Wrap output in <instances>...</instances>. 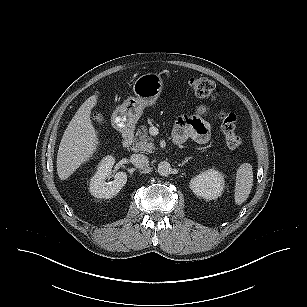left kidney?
<instances>
[{"label": "left kidney", "mask_w": 307, "mask_h": 307, "mask_svg": "<svg viewBox=\"0 0 307 307\" xmlns=\"http://www.w3.org/2000/svg\"><path fill=\"white\" fill-rule=\"evenodd\" d=\"M224 185L223 174L215 169H208L190 181V189L207 200L217 199L222 194Z\"/></svg>", "instance_id": "1"}]
</instances>
